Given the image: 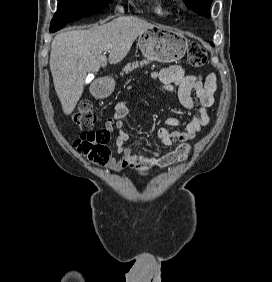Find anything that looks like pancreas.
<instances>
[{
    "instance_id": "cf45deb5",
    "label": "pancreas",
    "mask_w": 272,
    "mask_h": 282,
    "mask_svg": "<svg viewBox=\"0 0 272 282\" xmlns=\"http://www.w3.org/2000/svg\"><path fill=\"white\" fill-rule=\"evenodd\" d=\"M150 62L148 60H143L140 63L138 61L133 62V63H129L127 64L123 69H122V73L121 75H123V73H130L133 70L137 69L139 66H144V65H148Z\"/></svg>"
}]
</instances>
